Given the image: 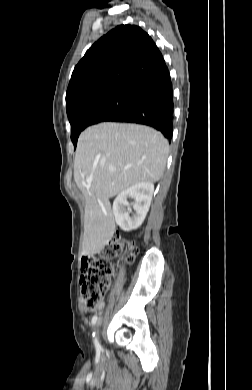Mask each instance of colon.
Instances as JSON below:
<instances>
[{"instance_id": "colon-1", "label": "colon", "mask_w": 252, "mask_h": 390, "mask_svg": "<svg viewBox=\"0 0 252 390\" xmlns=\"http://www.w3.org/2000/svg\"><path fill=\"white\" fill-rule=\"evenodd\" d=\"M125 246L130 247L127 261L132 262L137 249L134 244L127 242L119 236L114 237L100 251L98 256L84 260L81 272V289L84 304L88 311H94L102 302L113 277L111 260L117 257Z\"/></svg>"}]
</instances>
